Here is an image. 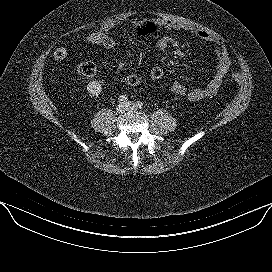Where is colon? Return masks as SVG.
<instances>
[{"label": "colon", "instance_id": "obj_1", "mask_svg": "<svg viewBox=\"0 0 272 272\" xmlns=\"http://www.w3.org/2000/svg\"><path fill=\"white\" fill-rule=\"evenodd\" d=\"M155 30V25L151 22L145 23L141 27V33L148 34ZM116 45V42L110 33L102 31H92L82 35L76 46L78 48H91V47H104L112 49ZM71 53V49L66 46H59L54 49L52 55L56 60H64ZM76 73L84 78L91 79L96 73V66L92 62H81L76 67ZM165 76V71L162 67L156 66L142 73L130 74L121 80L122 85L126 87H137L140 85H146L158 80H161ZM232 79L236 82L241 80L239 73H233Z\"/></svg>", "mask_w": 272, "mask_h": 272}]
</instances>
